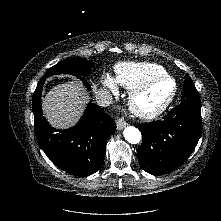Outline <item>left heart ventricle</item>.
Instances as JSON below:
<instances>
[{
    "instance_id": "b2bd125f",
    "label": "left heart ventricle",
    "mask_w": 221,
    "mask_h": 221,
    "mask_svg": "<svg viewBox=\"0 0 221 221\" xmlns=\"http://www.w3.org/2000/svg\"><path fill=\"white\" fill-rule=\"evenodd\" d=\"M170 89L168 82L157 83L138 99L139 106L143 109L155 108L168 96Z\"/></svg>"
}]
</instances>
